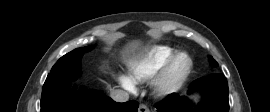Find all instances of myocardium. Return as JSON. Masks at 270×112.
Masks as SVG:
<instances>
[{
    "mask_svg": "<svg viewBox=\"0 0 270 112\" xmlns=\"http://www.w3.org/2000/svg\"><path fill=\"white\" fill-rule=\"evenodd\" d=\"M179 56H186L188 64L186 68L177 76L172 77L170 71L174 61ZM194 67L192 56L183 50L175 51L163 63L158 72L152 77L151 91L155 98L163 99L177 92L187 81Z\"/></svg>",
    "mask_w": 270,
    "mask_h": 112,
    "instance_id": "obj_1",
    "label": "myocardium"
}]
</instances>
